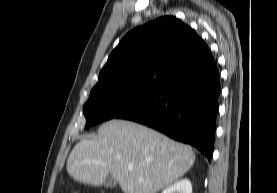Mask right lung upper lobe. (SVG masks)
<instances>
[{"label": "right lung upper lobe", "mask_w": 277, "mask_h": 193, "mask_svg": "<svg viewBox=\"0 0 277 193\" xmlns=\"http://www.w3.org/2000/svg\"><path fill=\"white\" fill-rule=\"evenodd\" d=\"M210 58L211 51L192 28L164 16L133 29L119 42L92 91L125 86L158 89Z\"/></svg>", "instance_id": "1"}]
</instances>
